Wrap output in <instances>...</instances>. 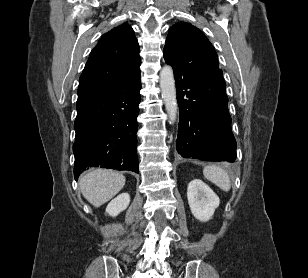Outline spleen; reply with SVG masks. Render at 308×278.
I'll return each mask as SVG.
<instances>
[{"label": "spleen", "instance_id": "obj_1", "mask_svg": "<svg viewBox=\"0 0 308 278\" xmlns=\"http://www.w3.org/2000/svg\"><path fill=\"white\" fill-rule=\"evenodd\" d=\"M206 179L217 185L223 191L231 188L230 177L225 169L217 165H208L203 169Z\"/></svg>", "mask_w": 308, "mask_h": 278}]
</instances>
